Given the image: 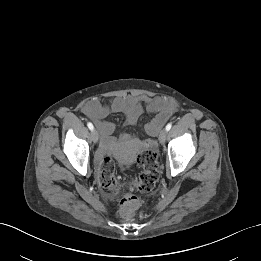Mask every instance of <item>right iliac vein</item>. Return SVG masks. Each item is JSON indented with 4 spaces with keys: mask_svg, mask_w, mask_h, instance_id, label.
<instances>
[{
    "mask_svg": "<svg viewBox=\"0 0 261 261\" xmlns=\"http://www.w3.org/2000/svg\"><path fill=\"white\" fill-rule=\"evenodd\" d=\"M91 139L94 143H97L98 142V139H99V134H98V131L96 129H93L92 132H91Z\"/></svg>",
    "mask_w": 261,
    "mask_h": 261,
    "instance_id": "1",
    "label": "right iliac vein"
}]
</instances>
